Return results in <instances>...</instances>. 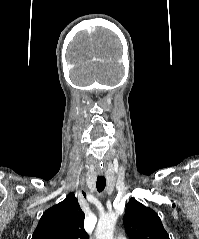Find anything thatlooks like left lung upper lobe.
<instances>
[{
  "label": "left lung upper lobe",
  "instance_id": "left-lung-upper-lobe-1",
  "mask_svg": "<svg viewBox=\"0 0 199 239\" xmlns=\"http://www.w3.org/2000/svg\"><path fill=\"white\" fill-rule=\"evenodd\" d=\"M123 223L130 239H170L158 214L134 198L126 206Z\"/></svg>",
  "mask_w": 199,
  "mask_h": 239
}]
</instances>
